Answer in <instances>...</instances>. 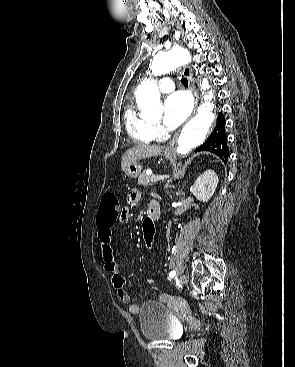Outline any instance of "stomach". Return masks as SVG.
I'll use <instances>...</instances> for the list:
<instances>
[{"label":"stomach","instance_id":"1","mask_svg":"<svg viewBox=\"0 0 295 367\" xmlns=\"http://www.w3.org/2000/svg\"><path fill=\"white\" fill-rule=\"evenodd\" d=\"M164 156L168 159L173 158L172 153L165 152ZM142 166L138 162L128 165L125 169V174L130 178H137L141 174Z\"/></svg>","mask_w":295,"mask_h":367}]
</instances>
